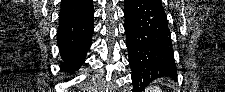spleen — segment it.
Instances as JSON below:
<instances>
[{"label":"spleen","mask_w":225,"mask_h":92,"mask_svg":"<svg viewBox=\"0 0 225 92\" xmlns=\"http://www.w3.org/2000/svg\"><path fill=\"white\" fill-rule=\"evenodd\" d=\"M145 92H162V90L158 86L149 85Z\"/></svg>","instance_id":"obj_1"}]
</instances>
